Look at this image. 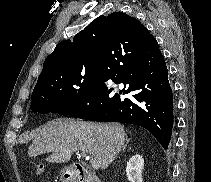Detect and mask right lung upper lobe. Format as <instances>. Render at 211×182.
Returning a JSON list of instances; mask_svg holds the SVG:
<instances>
[{"label":"right lung upper lobe","instance_id":"1","mask_svg":"<svg viewBox=\"0 0 211 182\" xmlns=\"http://www.w3.org/2000/svg\"><path fill=\"white\" fill-rule=\"evenodd\" d=\"M152 35L135 18L114 12L101 15L84 30L76 34L73 40H64L57 44L43 64L36 86L58 80L78 71L98 67L104 43L127 44L143 41Z\"/></svg>","mask_w":211,"mask_h":182}]
</instances>
